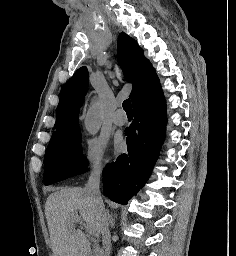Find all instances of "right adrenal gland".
<instances>
[{
    "label": "right adrenal gland",
    "instance_id": "obj_1",
    "mask_svg": "<svg viewBox=\"0 0 236 256\" xmlns=\"http://www.w3.org/2000/svg\"><path fill=\"white\" fill-rule=\"evenodd\" d=\"M106 214H107V216H108V218L110 220L111 228H114V226H115L114 218H112L111 214H109V210H106Z\"/></svg>",
    "mask_w": 236,
    "mask_h": 256
}]
</instances>
